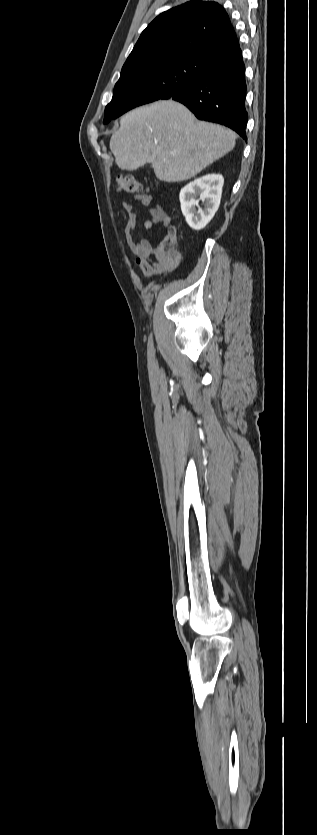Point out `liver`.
<instances>
[{
	"label": "liver",
	"mask_w": 317,
	"mask_h": 835,
	"mask_svg": "<svg viewBox=\"0 0 317 835\" xmlns=\"http://www.w3.org/2000/svg\"><path fill=\"white\" fill-rule=\"evenodd\" d=\"M236 137L225 127L197 121L184 105L162 100L122 116L110 149L121 169L133 171L151 163L159 180L177 182L231 151Z\"/></svg>",
	"instance_id": "1"
}]
</instances>
